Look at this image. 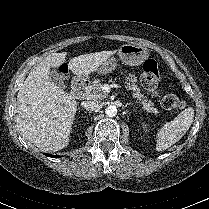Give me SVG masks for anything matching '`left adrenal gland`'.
<instances>
[{
    "instance_id": "left-adrenal-gland-1",
    "label": "left adrenal gland",
    "mask_w": 209,
    "mask_h": 209,
    "mask_svg": "<svg viewBox=\"0 0 209 209\" xmlns=\"http://www.w3.org/2000/svg\"><path fill=\"white\" fill-rule=\"evenodd\" d=\"M132 103H127L126 105H125V107L127 106V105H131Z\"/></svg>"
}]
</instances>
